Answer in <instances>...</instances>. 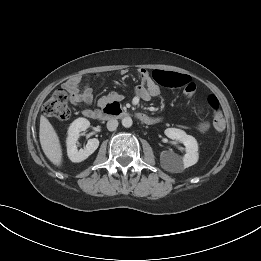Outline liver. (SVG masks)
Instances as JSON below:
<instances>
[{"label":"liver","instance_id":"6515ba94","mask_svg":"<svg viewBox=\"0 0 261 261\" xmlns=\"http://www.w3.org/2000/svg\"><path fill=\"white\" fill-rule=\"evenodd\" d=\"M39 138L46 157L56 166L62 164V149L59 137L45 116L40 117Z\"/></svg>","mask_w":261,"mask_h":261}]
</instances>
